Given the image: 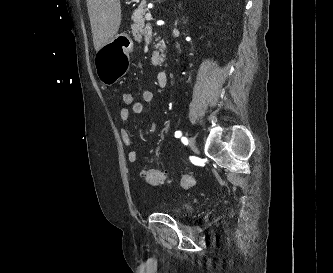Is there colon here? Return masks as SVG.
Masks as SVG:
<instances>
[{"label":"colon","instance_id":"colon-1","mask_svg":"<svg viewBox=\"0 0 333 273\" xmlns=\"http://www.w3.org/2000/svg\"><path fill=\"white\" fill-rule=\"evenodd\" d=\"M120 101L123 105H131L134 102V96L130 92L122 93ZM141 177L143 181L150 185H161L168 181V177L160 170L148 168L142 171ZM180 183L183 188L189 189L195 185V179L187 174L180 176Z\"/></svg>","mask_w":333,"mask_h":273}]
</instances>
